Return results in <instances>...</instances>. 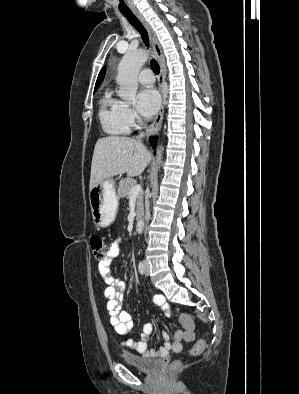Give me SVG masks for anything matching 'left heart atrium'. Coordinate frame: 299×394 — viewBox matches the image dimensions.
<instances>
[{
  "label": "left heart atrium",
  "mask_w": 299,
  "mask_h": 394,
  "mask_svg": "<svg viewBox=\"0 0 299 394\" xmlns=\"http://www.w3.org/2000/svg\"><path fill=\"white\" fill-rule=\"evenodd\" d=\"M159 106L160 97L154 88H144L137 94L136 108L142 116L152 117L158 111Z\"/></svg>",
  "instance_id": "left-heart-atrium-1"
}]
</instances>
